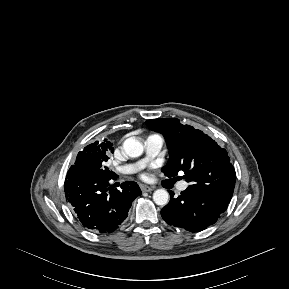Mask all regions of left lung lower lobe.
<instances>
[{"instance_id": "1", "label": "left lung lower lobe", "mask_w": 289, "mask_h": 289, "mask_svg": "<svg viewBox=\"0 0 289 289\" xmlns=\"http://www.w3.org/2000/svg\"><path fill=\"white\" fill-rule=\"evenodd\" d=\"M170 202L161 210L162 218L169 225L191 232L205 230L214 224L227 209L229 202L187 188L177 198L170 192Z\"/></svg>"}]
</instances>
